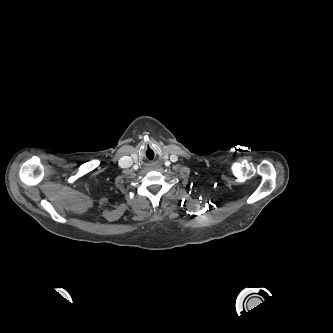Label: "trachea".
Here are the masks:
<instances>
[{"label": "trachea", "instance_id": "trachea-1", "mask_svg": "<svg viewBox=\"0 0 333 333\" xmlns=\"http://www.w3.org/2000/svg\"><path fill=\"white\" fill-rule=\"evenodd\" d=\"M147 158L149 160H153L154 159V152L153 151H149L148 154H147Z\"/></svg>", "mask_w": 333, "mask_h": 333}]
</instances>
